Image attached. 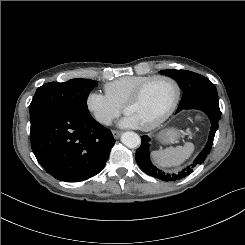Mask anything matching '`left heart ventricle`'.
<instances>
[{
    "mask_svg": "<svg viewBox=\"0 0 245 245\" xmlns=\"http://www.w3.org/2000/svg\"><path fill=\"white\" fill-rule=\"evenodd\" d=\"M176 90L174 85L165 80L150 83L141 98L129 106L126 113L134 116L140 126L149 125L160 119L171 107Z\"/></svg>",
    "mask_w": 245,
    "mask_h": 245,
    "instance_id": "obj_1",
    "label": "left heart ventricle"
}]
</instances>
